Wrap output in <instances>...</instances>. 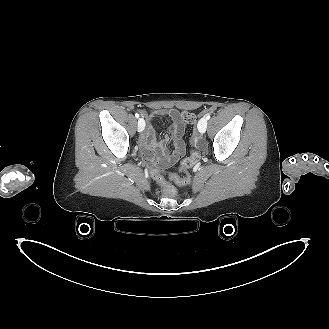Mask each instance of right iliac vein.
Here are the masks:
<instances>
[{"label":"right iliac vein","mask_w":329,"mask_h":329,"mask_svg":"<svg viewBox=\"0 0 329 329\" xmlns=\"http://www.w3.org/2000/svg\"><path fill=\"white\" fill-rule=\"evenodd\" d=\"M144 128H145V121L143 118H140L138 120V131L142 132L144 130Z\"/></svg>","instance_id":"right-iliac-vein-1"}]
</instances>
